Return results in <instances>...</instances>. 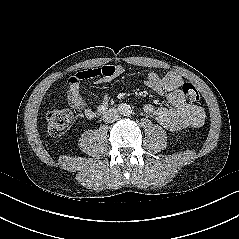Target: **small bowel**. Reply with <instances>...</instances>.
Segmentation results:
<instances>
[{
	"instance_id": "1",
	"label": "small bowel",
	"mask_w": 239,
	"mask_h": 239,
	"mask_svg": "<svg viewBox=\"0 0 239 239\" xmlns=\"http://www.w3.org/2000/svg\"><path fill=\"white\" fill-rule=\"evenodd\" d=\"M124 71L125 69L121 65H104L97 69L80 70L74 73L68 80L69 103L74 108L84 110L87 118H94L103 113L107 109L109 95L103 94L102 103L96 109L87 108L81 94V84L90 79L95 80L98 84L108 83L120 78ZM182 82L181 76L173 72L165 75L149 72L145 81L150 89L165 95L171 107H157L151 103H146L143 106V111L170 131L198 128L205 121L203 108L186 101L181 90Z\"/></svg>"
}]
</instances>
